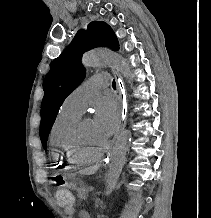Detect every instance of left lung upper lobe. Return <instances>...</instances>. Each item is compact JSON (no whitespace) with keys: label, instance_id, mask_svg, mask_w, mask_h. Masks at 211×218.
<instances>
[{"label":"left lung upper lobe","instance_id":"left-lung-upper-lobe-1","mask_svg":"<svg viewBox=\"0 0 211 218\" xmlns=\"http://www.w3.org/2000/svg\"><path fill=\"white\" fill-rule=\"evenodd\" d=\"M96 47L119 49L112 28L102 21L91 22L87 31H78L63 53L52 62L50 71L43 81L45 94L41 104L39 134L44 149L60 106L85 78V69L81 64L83 53Z\"/></svg>","mask_w":211,"mask_h":218}]
</instances>
